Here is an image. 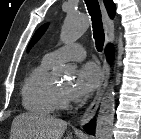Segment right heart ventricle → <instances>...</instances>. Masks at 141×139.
<instances>
[{"label":"right heart ventricle","mask_w":141,"mask_h":139,"mask_svg":"<svg viewBox=\"0 0 141 139\" xmlns=\"http://www.w3.org/2000/svg\"><path fill=\"white\" fill-rule=\"evenodd\" d=\"M55 64L45 58L33 67L22 86V104L36 115H50L58 108L56 86L49 78V70Z\"/></svg>","instance_id":"e07e8e85"}]
</instances>
